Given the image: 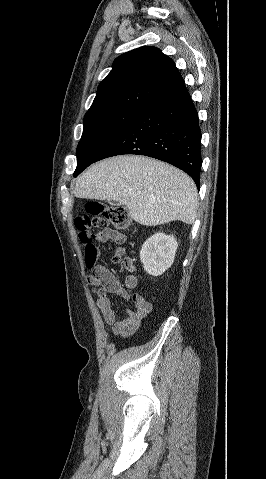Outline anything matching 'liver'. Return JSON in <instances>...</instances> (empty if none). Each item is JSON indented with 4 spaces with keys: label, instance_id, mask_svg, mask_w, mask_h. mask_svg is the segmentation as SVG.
<instances>
[{
    "label": "liver",
    "instance_id": "1",
    "mask_svg": "<svg viewBox=\"0 0 266 479\" xmlns=\"http://www.w3.org/2000/svg\"><path fill=\"white\" fill-rule=\"evenodd\" d=\"M74 195L116 200L145 226L176 220L193 224L197 217L193 180L169 164L144 156H116L95 163L77 179Z\"/></svg>",
    "mask_w": 266,
    "mask_h": 479
}]
</instances>
